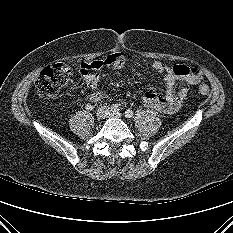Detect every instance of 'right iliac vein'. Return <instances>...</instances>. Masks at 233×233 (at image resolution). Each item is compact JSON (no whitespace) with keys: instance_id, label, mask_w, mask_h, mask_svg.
I'll use <instances>...</instances> for the list:
<instances>
[{"instance_id":"1","label":"right iliac vein","mask_w":233,"mask_h":233,"mask_svg":"<svg viewBox=\"0 0 233 233\" xmlns=\"http://www.w3.org/2000/svg\"><path fill=\"white\" fill-rule=\"evenodd\" d=\"M108 115L109 109L107 107H101L96 113L98 119H105Z\"/></svg>"}]
</instances>
